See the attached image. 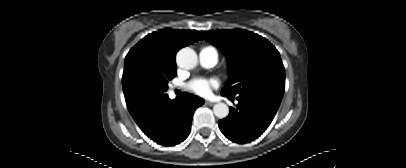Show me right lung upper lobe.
Listing matches in <instances>:
<instances>
[{"instance_id": "obj_1", "label": "right lung upper lobe", "mask_w": 406, "mask_h": 168, "mask_svg": "<svg viewBox=\"0 0 406 168\" xmlns=\"http://www.w3.org/2000/svg\"><path fill=\"white\" fill-rule=\"evenodd\" d=\"M202 38V34L195 30L185 31L166 28L148 34L129 51L125 58L122 85L130 113L134 109L128 101L127 86L132 74L140 68L161 73L176 71V52Z\"/></svg>"}]
</instances>
